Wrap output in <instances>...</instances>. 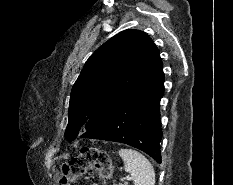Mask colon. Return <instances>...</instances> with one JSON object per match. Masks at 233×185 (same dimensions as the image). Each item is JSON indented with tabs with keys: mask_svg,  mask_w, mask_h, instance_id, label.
Listing matches in <instances>:
<instances>
[{
	"mask_svg": "<svg viewBox=\"0 0 233 185\" xmlns=\"http://www.w3.org/2000/svg\"><path fill=\"white\" fill-rule=\"evenodd\" d=\"M87 173L107 180L112 175V165L107 153L97 147H83L80 153L61 166V185H74Z\"/></svg>",
	"mask_w": 233,
	"mask_h": 185,
	"instance_id": "5ec220e1",
	"label": "colon"
}]
</instances>
